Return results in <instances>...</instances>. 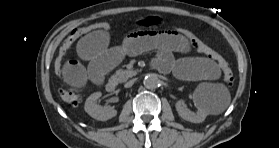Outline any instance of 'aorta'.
<instances>
[{"instance_id":"762f6f07","label":"aorta","mask_w":279,"mask_h":148,"mask_svg":"<svg viewBox=\"0 0 279 148\" xmlns=\"http://www.w3.org/2000/svg\"><path fill=\"white\" fill-rule=\"evenodd\" d=\"M158 84H159V79L155 74H148L144 78V85L147 88L154 89L158 86Z\"/></svg>"}]
</instances>
